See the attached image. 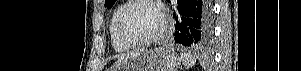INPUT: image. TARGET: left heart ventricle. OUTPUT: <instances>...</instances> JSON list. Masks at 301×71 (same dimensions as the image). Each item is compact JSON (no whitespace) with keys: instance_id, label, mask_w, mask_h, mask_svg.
<instances>
[{"instance_id":"b2bd125f","label":"left heart ventricle","mask_w":301,"mask_h":71,"mask_svg":"<svg viewBox=\"0 0 301 71\" xmlns=\"http://www.w3.org/2000/svg\"><path fill=\"white\" fill-rule=\"evenodd\" d=\"M161 25V14L148 3L132 6L124 20V30L132 40H141L154 35Z\"/></svg>"}]
</instances>
